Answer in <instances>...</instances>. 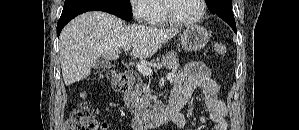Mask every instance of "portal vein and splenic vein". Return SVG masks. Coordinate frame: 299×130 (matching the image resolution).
<instances>
[{"instance_id":"portal-vein-and-splenic-vein-1","label":"portal vein and splenic vein","mask_w":299,"mask_h":130,"mask_svg":"<svg viewBox=\"0 0 299 130\" xmlns=\"http://www.w3.org/2000/svg\"><path fill=\"white\" fill-rule=\"evenodd\" d=\"M124 49H125L126 51L131 50V45H127V46H125ZM136 68H137V70H138L139 72H141V73L144 74V75L150 76V75L152 74V70H151V68L148 67V66H146V65H144V64H137V65H136ZM174 76H175V73H174V72H171V73H169V74L167 75V78H168V79H172Z\"/></svg>"}]
</instances>
